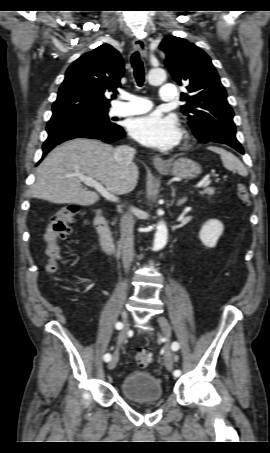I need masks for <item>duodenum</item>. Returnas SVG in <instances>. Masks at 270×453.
<instances>
[{
	"label": "duodenum",
	"instance_id": "410a0bca",
	"mask_svg": "<svg viewBox=\"0 0 270 453\" xmlns=\"http://www.w3.org/2000/svg\"><path fill=\"white\" fill-rule=\"evenodd\" d=\"M94 225L103 251L109 254L113 253L115 250L114 238L101 210L96 212Z\"/></svg>",
	"mask_w": 270,
	"mask_h": 453
}]
</instances>
